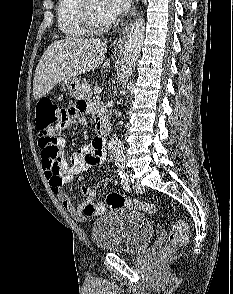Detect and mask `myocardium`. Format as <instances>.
I'll return each mask as SVG.
<instances>
[{
  "label": "myocardium",
  "instance_id": "f54148a6",
  "mask_svg": "<svg viewBox=\"0 0 233 294\" xmlns=\"http://www.w3.org/2000/svg\"><path fill=\"white\" fill-rule=\"evenodd\" d=\"M82 1L80 15L85 28L90 32V34H102L113 27V20L106 23H100L97 21L91 8V0Z\"/></svg>",
  "mask_w": 233,
  "mask_h": 294
}]
</instances>
